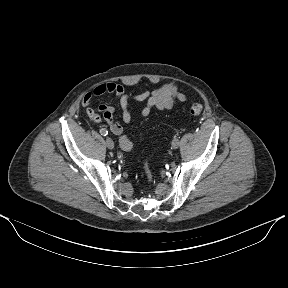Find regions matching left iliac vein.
<instances>
[{
  "label": "left iliac vein",
  "mask_w": 288,
  "mask_h": 288,
  "mask_svg": "<svg viewBox=\"0 0 288 288\" xmlns=\"http://www.w3.org/2000/svg\"><path fill=\"white\" fill-rule=\"evenodd\" d=\"M179 144H180L179 140H174V139L172 140V147L174 149H177L179 147Z\"/></svg>",
  "instance_id": "obj_1"
}]
</instances>
